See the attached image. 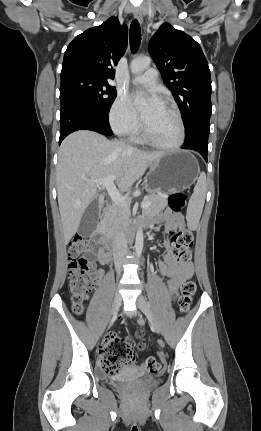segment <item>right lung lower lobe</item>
Returning a JSON list of instances; mask_svg holds the SVG:
<instances>
[{"label": "right lung lower lobe", "mask_w": 261, "mask_h": 431, "mask_svg": "<svg viewBox=\"0 0 261 431\" xmlns=\"http://www.w3.org/2000/svg\"><path fill=\"white\" fill-rule=\"evenodd\" d=\"M59 144L70 133L77 130H91L103 135H111L108 114H97L82 105L69 100H61Z\"/></svg>", "instance_id": "right-lung-lower-lobe-1"}]
</instances>
